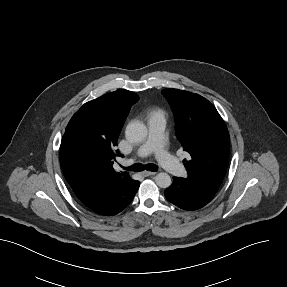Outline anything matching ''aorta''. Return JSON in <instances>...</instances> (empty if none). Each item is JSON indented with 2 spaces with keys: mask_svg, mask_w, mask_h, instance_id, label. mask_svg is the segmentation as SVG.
<instances>
[{
  "mask_svg": "<svg viewBox=\"0 0 287 287\" xmlns=\"http://www.w3.org/2000/svg\"><path fill=\"white\" fill-rule=\"evenodd\" d=\"M147 132V127L143 123L134 121L127 125L125 135L128 140L139 143L145 140ZM155 182L160 188H168L171 185L172 180L167 173L160 172L156 175Z\"/></svg>",
  "mask_w": 287,
  "mask_h": 287,
  "instance_id": "762f6f07",
  "label": "aorta"
}]
</instances>
